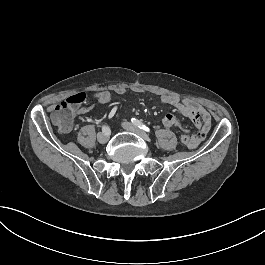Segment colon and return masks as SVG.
<instances>
[{
  "label": "colon",
  "mask_w": 265,
  "mask_h": 265,
  "mask_svg": "<svg viewBox=\"0 0 265 265\" xmlns=\"http://www.w3.org/2000/svg\"><path fill=\"white\" fill-rule=\"evenodd\" d=\"M86 99L87 96L84 93L73 94L68 96L67 101H64L57 105L53 114L54 122L59 124L62 128H69L72 116L67 110H69L70 107L77 105L78 102L86 101ZM182 142L184 145L190 148V135H183Z\"/></svg>",
  "instance_id": "obj_1"
}]
</instances>
